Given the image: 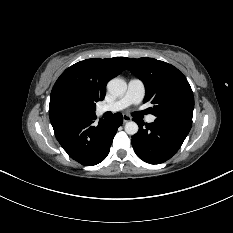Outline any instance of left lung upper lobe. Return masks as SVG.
I'll list each match as a JSON object with an SVG mask.
<instances>
[{
  "label": "left lung upper lobe",
  "mask_w": 233,
  "mask_h": 233,
  "mask_svg": "<svg viewBox=\"0 0 233 233\" xmlns=\"http://www.w3.org/2000/svg\"><path fill=\"white\" fill-rule=\"evenodd\" d=\"M127 68L145 85L144 103L157 118L191 128L194 109L192 89L181 71L153 58H122Z\"/></svg>",
  "instance_id": "left-lung-upper-lobe-1"
}]
</instances>
